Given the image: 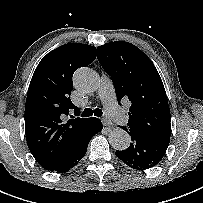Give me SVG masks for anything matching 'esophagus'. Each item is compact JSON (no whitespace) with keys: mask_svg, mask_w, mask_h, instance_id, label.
I'll use <instances>...</instances> for the list:
<instances>
[{"mask_svg":"<svg viewBox=\"0 0 203 203\" xmlns=\"http://www.w3.org/2000/svg\"><path fill=\"white\" fill-rule=\"evenodd\" d=\"M102 123H103L104 126L113 127V123L107 118H103Z\"/></svg>","mask_w":203,"mask_h":203,"instance_id":"esophagus-1","label":"esophagus"}]
</instances>
